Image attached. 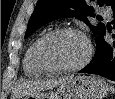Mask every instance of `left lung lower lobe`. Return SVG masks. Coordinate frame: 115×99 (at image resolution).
I'll use <instances>...</instances> for the list:
<instances>
[{"instance_id": "1", "label": "left lung lower lobe", "mask_w": 115, "mask_h": 99, "mask_svg": "<svg viewBox=\"0 0 115 99\" xmlns=\"http://www.w3.org/2000/svg\"><path fill=\"white\" fill-rule=\"evenodd\" d=\"M113 17H115V7L113 8ZM113 23H115V19ZM113 28L115 29V25ZM105 33L106 28L96 41V54L92 61L78 73L96 74L115 81V41L106 42L104 40ZM112 37L115 38V34Z\"/></svg>"}]
</instances>
